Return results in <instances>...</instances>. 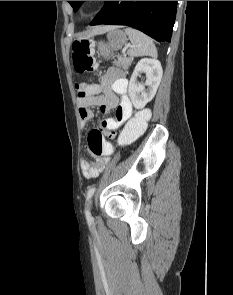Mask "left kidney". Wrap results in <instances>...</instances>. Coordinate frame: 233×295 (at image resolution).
Segmentation results:
<instances>
[{
    "label": "left kidney",
    "mask_w": 233,
    "mask_h": 295,
    "mask_svg": "<svg viewBox=\"0 0 233 295\" xmlns=\"http://www.w3.org/2000/svg\"><path fill=\"white\" fill-rule=\"evenodd\" d=\"M141 73L146 74L145 83L137 81ZM162 73L163 70L159 60L143 58L137 63L128 87V94L134 108L143 109L154 98Z\"/></svg>",
    "instance_id": "left-kidney-1"
}]
</instances>
